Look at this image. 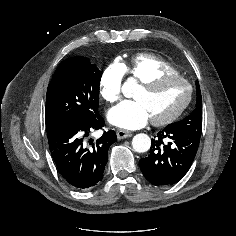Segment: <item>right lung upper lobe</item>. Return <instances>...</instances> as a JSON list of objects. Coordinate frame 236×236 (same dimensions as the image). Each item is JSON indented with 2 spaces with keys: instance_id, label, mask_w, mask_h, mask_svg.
<instances>
[{
  "instance_id": "cb5924a9",
  "label": "right lung upper lobe",
  "mask_w": 236,
  "mask_h": 236,
  "mask_svg": "<svg viewBox=\"0 0 236 236\" xmlns=\"http://www.w3.org/2000/svg\"><path fill=\"white\" fill-rule=\"evenodd\" d=\"M57 126H58V125H57V124H54V123L47 125V126H46L47 132H50V131L54 130Z\"/></svg>"
}]
</instances>
